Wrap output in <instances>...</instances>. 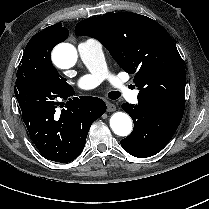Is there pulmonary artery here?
<instances>
[{
	"label": "pulmonary artery",
	"mask_w": 209,
	"mask_h": 209,
	"mask_svg": "<svg viewBox=\"0 0 209 209\" xmlns=\"http://www.w3.org/2000/svg\"><path fill=\"white\" fill-rule=\"evenodd\" d=\"M77 49L79 58L89 70V74L80 78L78 86L85 90L93 89L107 76L102 44L96 39H87L80 42ZM110 78L116 82V91L121 97L132 103L138 102L139 90L128 89L116 76H110Z\"/></svg>",
	"instance_id": "e3ab8cb5"
}]
</instances>
